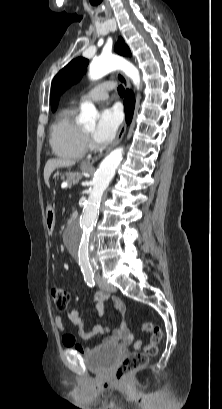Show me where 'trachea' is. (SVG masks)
<instances>
[{
	"mask_svg": "<svg viewBox=\"0 0 222 409\" xmlns=\"http://www.w3.org/2000/svg\"><path fill=\"white\" fill-rule=\"evenodd\" d=\"M118 93H119V95H120L121 97L124 96L125 90H124V88L122 87V85H119V86H118Z\"/></svg>",
	"mask_w": 222,
	"mask_h": 409,
	"instance_id": "1",
	"label": "trachea"
}]
</instances>
